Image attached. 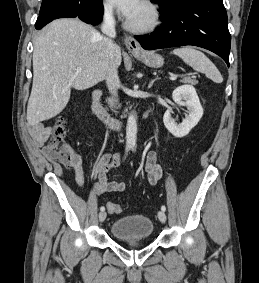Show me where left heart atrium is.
<instances>
[{
	"mask_svg": "<svg viewBox=\"0 0 259 283\" xmlns=\"http://www.w3.org/2000/svg\"><path fill=\"white\" fill-rule=\"evenodd\" d=\"M121 14L129 20L137 12L142 4V0H110Z\"/></svg>",
	"mask_w": 259,
	"mask_h": 283,
	"instance_id": "1",
	"label": "left heart atrium"
}]
</instances>
